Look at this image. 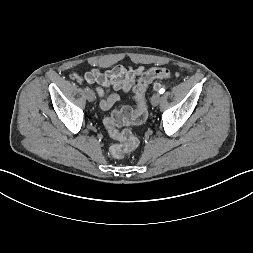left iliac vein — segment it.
<instances>
[{
  "label": "left iliac vein",
  "mask_w": 253,
  "mask_h": 253,
  "mask_svg": "<svg viewBox=\"0 0 253 253\" xmlns=\"http://www.w3.org/2000/svg\"><path fill=\"white\" fill-rule=\"evenodd\" d=\"M160 100H161V95L159 93H156L151 97V104L153 106H157Z\"/></svg>",
  "instance_id": "1"
}]
</instances>
